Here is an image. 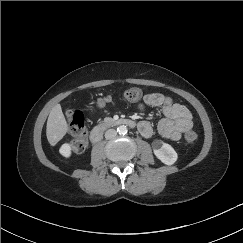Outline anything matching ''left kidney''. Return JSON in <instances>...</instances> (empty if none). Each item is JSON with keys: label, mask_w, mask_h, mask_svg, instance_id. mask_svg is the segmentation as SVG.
Masks as SVG:
<instances>
[{"label": "left kidney", "mask_w": 243, "mask_h": 243, "mask_svg": "<svg viewBox=\"0 0 243 243\" xmlns=\"http://www.w3.org/2000/svg\"><path fill=\"white\" fill-rule=\"evenodd\" d=\"M152 147L155 156L164 164L173 165L176 162L178 155L171 145L161 140H155Z\"/></svg>", "instance_id": "1"}]
</instances>
